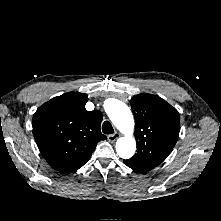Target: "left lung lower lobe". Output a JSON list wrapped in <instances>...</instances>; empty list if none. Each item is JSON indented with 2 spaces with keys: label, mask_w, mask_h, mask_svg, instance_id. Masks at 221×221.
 Segmentation results:
<instances>
[{
  "label": "left lung lower lobe",
  "mask_w": 221,
  "mask_h": 221,
  "mask_svg": "<svg viewBox=\"0 0 221 221\" xmlns=\"http://www.w3.org/2000/svg\"><path fill=\"white\" fill-rule=\"evenodd\" d=\"M123 162L126 166L130 167L131 169H133L139 173H145V172H148L154 168L152 166L141 164V163H138V162H136L134 160H130V159L124 160Z\"/></svg>",
  "instance_id": "1"
}]
</instances>
